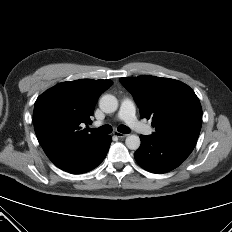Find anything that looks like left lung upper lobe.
Listing matches in <instances>:
<instances>
[{
    "label": "left lung upper lobe",
    "mask_w": 232,
    "mask_h": 232,
    "mask_svg": "<svg viewBox=\"0 0 232 232\" xmlns=\"http://www.w3.org/2000/svg\"><path fill=\"white\" fill-rule=\"evenodd\" d=\"M120 82L133 95L141 117L152 118L153 136L199 137L202 108L188 85L149 75L124 77Z\"/></svg>",
    "instance_id": "1"
}]
</instances>
